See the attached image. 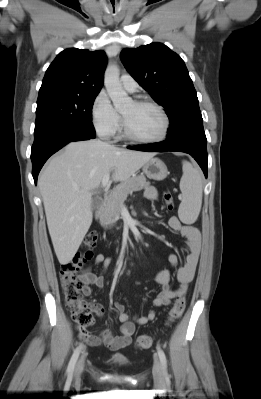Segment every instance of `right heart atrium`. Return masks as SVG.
Returning a JSON list of instances; mask_svg holds the SVG:
<instances>
[{"mask_svg":"<svg viewBox=\"0 0 261 399\" xmlns=\"http://www.w3.org/2000/svg\"><path fill=\"white\" fill-rule=\"evenodd\" d=\"M91 118L96 132L103 138H112L120 130L121 118L104 92L95 97Z\"/></svg>","mask_w":261,"mask_h":399,"instance_id":"1","label":"right heart atrium"}]
</instances>
